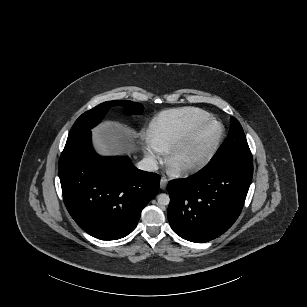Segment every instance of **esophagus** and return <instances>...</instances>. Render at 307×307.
Instances as JSON below:
<instances>
[{"mask_svg":"<svg viewBox=\"0 0 307 307\" xmlns=\"http://www.w3.org/2000/svg\"><path fill=\"white\" fill-rule=\"evenodd\" d=\"M167 183H168L167 177H166V176H162V177H161V180H160V188H161L162 190H165L166 187H167Z\"/></svg>","mask_w":307,"mask_h":307,"instance_id":"34e87169","label":"esophagus"}]
</instances>
